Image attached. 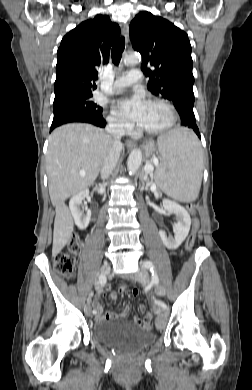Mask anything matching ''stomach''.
Listing matches in <instances>:
<instances>
[{
    "label": "stomach",
    "mask_w": 252,
    "mask_h": 390,
    "mask_svg": "<svg viewBox=\"0 0 252 390\" xmlns=\"http://www.w3.org/2000/svg\"><path fill=\"white\" fill-rule=\"evenodd\" d=\"M155 151V146L153 143H148L145 147V152L147 156H150ZM163 159V158H162Z\"/></svg>",
    "instance_id": "1"
}]
</instances>
